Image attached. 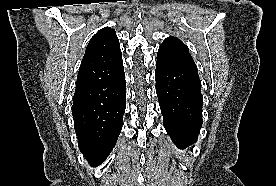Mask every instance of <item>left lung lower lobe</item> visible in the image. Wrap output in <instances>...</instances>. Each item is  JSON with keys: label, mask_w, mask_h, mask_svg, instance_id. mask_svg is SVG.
Masks as SVG:
<instances>
[{"label": "left lung lower lobe", "mask_w": 276, "mask_h": 186, "mask_svg": "<svg viewBox=\"0 0 276 186\" xmlns=\"http://www.w3.org/2000/svg\"><path fill=\"white\" fill-rule=\"evenodd\" d=\"M155 80L168 135L180 149L192 145L197 141L202 126V94L198 72L157 61Z\"/></svg>", "instance_id": "left-lung-lower-lobe-1"}]
</instances>
